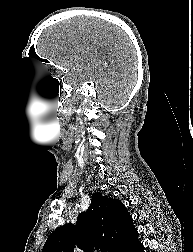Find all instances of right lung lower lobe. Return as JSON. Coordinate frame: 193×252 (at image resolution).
<instances>
[{"mask_svg": "<svg viewBox=\"0 0 193 252\" xmlns=\"http://www.w3.org/2000/svg\"><path fill=\"white\" fill-rule=\"evenodd\" d=\"M137 231L117 250V252H144V247L138 240Z\"/></svg>", "mask_w": 193, "mask_h": 252, "instance_id": "obj_1", "label": "right lung lower lobe"}]
</instances>
